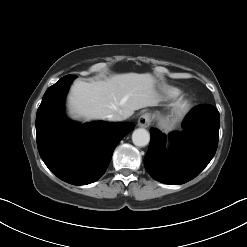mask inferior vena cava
Returning <instances> with one entry per match:
<instances>
[{
  "label": "inferior vena cava",
  "mask_w": 247,
  "mask_h": 247,
  "mask_svg": "<svg viewBox=\"0 0 247 247\" xmlns=\"http://www.w3.org/2000/svg\"><path fill=\"white\" fill-rule=\"evenodd\" d=\"M130 117L129 114L114 113L107 116L110 121H122Z\"/></svg>",
  "instance_id": "1"
}]
</instances>
